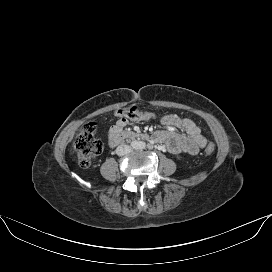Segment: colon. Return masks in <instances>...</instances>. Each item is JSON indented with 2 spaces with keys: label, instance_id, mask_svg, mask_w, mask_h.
Here are the masks:
<instances>
[{
  "label": "colon",
  "instance_id": "colon-1",
  "mask_svg": "<svg viewBox=\"0 0 272 272\" xmlns=\"http://www.w3.org/2000/svg\"><path fill=\"white\" fill-rule=\"evenodd\" d=\"M116 115L132 121H151L156 115L150 111H141L137 106L121 108ZM103 145L96 136V129L93 123L86 125L75 141V154L81 167H87L92 160L101 154ZM215 151L213 143H209L205 149L206 154L211 155Z\"/></svg>",
  "mask_w": 272,
  "mask_h": 272
}]
</instances>
